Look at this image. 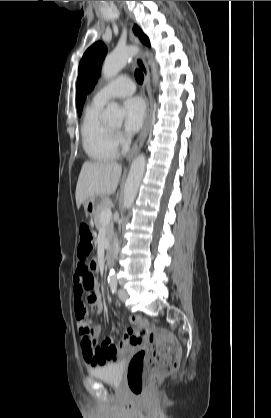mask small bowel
Returning <instances> with one entry per match:
<instances>
[{"label": "small bowel", "mask_w": 271, "mask_h": 418, "mask_svg": "<svg viewBox=\"0 0 271 418\" xmlns=\"http://www.w3.org/2000/svg\"><path fill=\"white\" fill-rule=\"evenodd\" d=\"M98 262L91 261L90 257L76 258V274L73 279L74 308L76 320L81 335V347L83 358L92 367L101 366L119 359L140 343V338L135 330L129 328L122 340L116 345L112 338L105 339L101 344L97 343L101 335V325H93L87 315V305L84 294H87V304L91 311L100 314L104 309L97 283ZM84 312L86 314H79Z\"/></svg>", "instance_id": "obj_1"}]
</instances>
